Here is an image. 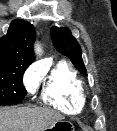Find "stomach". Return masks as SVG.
I'll use <instances>...</instances> for the list:
<instances>
[{"label": "stomach", "instance_id": "obj_1", "mask_svg": "<svg viewBox=\"0 0 117 131\" xmlns=\"http://www.w3.org/2000/svg\"><path fill=\"white\" fill-rule=\"evenodd\" d=\"M43 131H75V128L71 122L59 120L47 126Z\"/></svg>", "mask_w": 117, "mask_h": 131}]
</instances>
